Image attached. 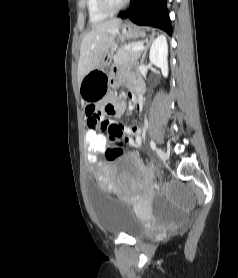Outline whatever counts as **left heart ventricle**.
I'll return each mask as SVG.
<instances>
[{
  "label": "left heart ventricle",
  "mask_w": 238,
  "mask_h": 278,
  "mask_svg": "<svg viewBox=\"0 0 238 278\" xmlns=\"http://www.w3.org/2000/svg\"><path fill=\"white\" fill-rule=\"evenodd\" d=\"M113 3H119L121 2L122 0H111Z\"/></svg>",
  "instance_id": "obj_1"
}]
</instances>
